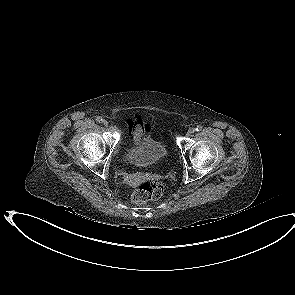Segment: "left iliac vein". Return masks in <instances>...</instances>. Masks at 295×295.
<instances>
[{"mask_svg":"<svg viewBox=\"0 0 295 295\" xmlns=\"http://www.w3.org/2000/svg\"><path fill=\"white\" fill-rule=\"evenodd\" d=\"M193 133H194V129L191 128V129L188 130L187 136H191Z\"/></svg>","mask_w":295,"mask_h":295,"instance_id":"left-iliac-vein-1","label":"left iliac vein"}]
</instances>
